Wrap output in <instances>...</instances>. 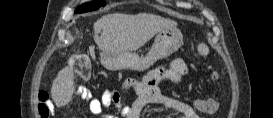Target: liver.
Masks as SVG:
<instances>
[{
	"label": "liver",
	"mask_w": 273,
	"mask_h": 118,
	"mask_svg": "<svg viewBox=\"0 0 273 118\" xmlns=\"http://www.w3.org/2000/svg\"><path fill=\"white\" fill-rule=\"evenodd\" d=\"M176 25L173 20L149 13L107 14L94 23V40L99 49L106 53L131 52L145 45L160 30ZM74 89L73 68L65 67L58 73L51 87V96L56 106L67 105Z\"/></svg>",
	"instance_id": "1"
}]
</instances>
